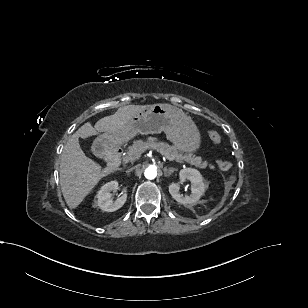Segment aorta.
I'll list each match as a JSON object with an SVG mask.
<instances>
[{"label":"aorta","instance_id":"aorta-1","mask_svg":"<svg viewBox=\"0 0 308 308\" xmlns=\"http://www.w3.org/2000/svg\"><path fill=\"white\" fill-rule=\"evenodd\" d=\"M144 175L149 180L155 179L157 176L156 167L149 166L148 168L145 169Z\"/></svg>","mask_w":308,"mask_h":308}]
</instances>
